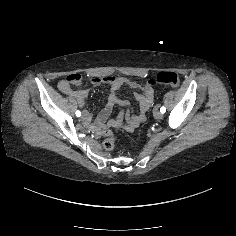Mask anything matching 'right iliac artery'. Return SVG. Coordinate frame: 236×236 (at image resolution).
<instances>
[{
  "instance_id": "obj_1",
  "label": "right iliac artery",
  "mask_w": 236,
  "mask_h": 236,
  "mask_svg": "<svg viewBox=\"0 0 236 236\" xmlns=\"http://www.w3.org/2000/svg\"><path fill=\"white\" fill-rule=\"evenodd\" d=\"M75 114H76L77 117L81 116V112L79 110H77Z\"/></svg>"
}]
</instances>
